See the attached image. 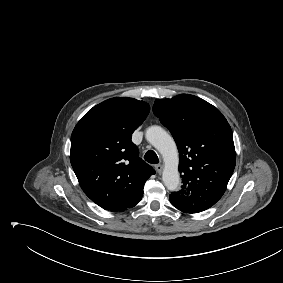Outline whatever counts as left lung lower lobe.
Segmentation results:
<instances>
[{
    "label": "left lung lower lobe",
    "mask_w": 283,
    "mask_h": 283,
    "mask_svg": "<svg viewBox=\"0 0 283 283\" xmlns=\"http://www.w3.org/2000/svg\"><path fill=\"white\" fill-rule=\"evenodd\" d=\"M170 203L177 208L178 210L184 212V213H197L190 205L187 203L181 201L178 198H175L174 196L170 195L169 196Z\"/></svg>",
    "instance_id": "0a47b994"
}]
</instances>
